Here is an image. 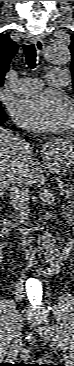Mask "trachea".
Masks as SVG:
<instances>
[{
  "mask_svg": "<svg viewBox=\"0 0 74 366\" xmlns=\"http://www.w3.org/2000/svg\"><path fill=\"white\" fill-rule=\"evenodd\" d=\"M25 60L29 68H36V49L34 44L24 45Z\"/></svg>",
  "mask_w": 74,
  "mask_h": 366,
  "instance_id": "trachea-1",
  "label": "trachea"
}]
</instances>
